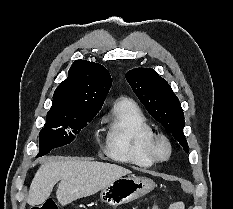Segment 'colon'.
<instances>
[{
  "label": "colon",
  "instance_id": "5ec220e1",
  "mask_svg": "<svg viewBox=\"0 0 233 209\" xmlns=\"http://www.w3.org/2000/svg\"><path fill=\"white\" fill-rule=\"evenodd\" d=\"M32 209H58L55 200L47 199L43 203L32 207ZM153 209H159V207L154 206Z\"/></svg>",
  "mask_w": 233,
  "mask_h": 209
}]
</instances>
